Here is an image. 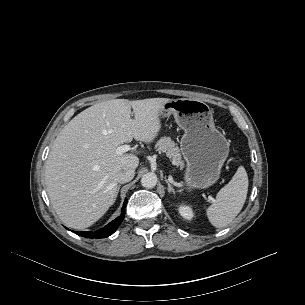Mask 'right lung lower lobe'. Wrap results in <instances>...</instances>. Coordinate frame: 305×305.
<instances>
[{
	"label": "right lung lower lobe",
	"mask_w": 305,
	"mask_h": 305,
	"mask_svg": "<svg viewBox=\"0 0 305 305\" xmlns=\"http://www.w3.org/2000/svg\"><path fill=\"white\" fill-rule=\"evenodd\" d=\"M127 203V199H125L122 210L125 209ZM125 213H121V215L113 220L111 223L106 225L105 227L95 231V232H76L77 235H81L86 238H106L113 234L116 229L119 227L121 222L123 221Z\"/></svg>",
	"instance_id": "right-lung-lower-lobe-1"
}]
</instances>
